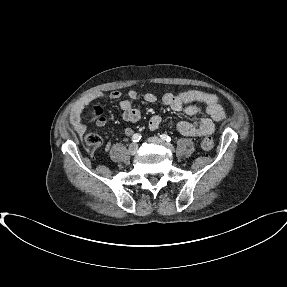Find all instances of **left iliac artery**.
Wrapping results in <instances>:
<instances>
[{
	"mask_svg": "<svg viewBox=\"0 0 287 287\" xmlns=\"http://www.w3.org/2000/svg\"><path fill=\"white\" fill-rule=\"evenodd\" d=\"M160 137H161V139H163L167 142H171V140H172L171 137L168 136L167 134H162V135H160Z\"/></svg>",
	"mask_w": 287,
	"mask_h": 287,
	"instance_id": "1",
	"label": "left iliac artery"
}]
</instances>
